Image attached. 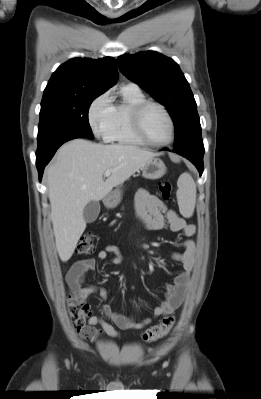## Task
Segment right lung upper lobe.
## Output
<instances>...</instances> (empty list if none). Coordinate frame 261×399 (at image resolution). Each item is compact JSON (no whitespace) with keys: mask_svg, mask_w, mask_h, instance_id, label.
<instances>
[{"mask_svg":"<svg viewBox=\"0 0 261 399\" xmlns=\"http://www.w3.org/2000/svg\"><path fill=\"white\" fill-rule=\"evenodd\" d=\"M117 78L114 58H74L60 65L53 73L43 97L99 96L112 87Z\"/></svg>","mask_w":261,"mask_h":399,"instance_id":"right-lung-upper-lobe-1","label":"right lung upper lobe"}]
</instances>
